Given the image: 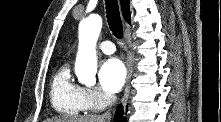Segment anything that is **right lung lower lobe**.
<instances>
[{
	"instance_id": "1",
	"label": "right lung lower lobe",
	"mask_w": 221,
	"mask_h": 122,
	"mask_svg": "<svg viewBox=\"0 0 221 122\" xmlns=\"http://www.w3.org/2000/svg\"><path fill=\"white\" fill-rule=\"evenodd\" d=\"M115 122H125L126 118H123V107L122 105H119L114 117Z\"/></svg>"
}]
</instances>
